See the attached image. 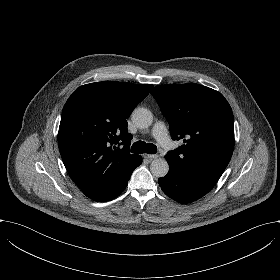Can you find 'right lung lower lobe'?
<instances>
[{
	"label": "right lung lower lobe",
	"mask_w": 280,
	"mask_h": 280,
	"mask_svg": "<svg viewBox=\"0 0 280 280\" xmlns=\"http://www.w3.org/2000/svg\"><path fill=\"white\" fill-rule=\"evenodd\" d=\"M141 163H142V160L140 161V164ZM130 176L131 175H129L127 178H125L124 181L118 187H116V189L113 191L112 195L109 196L107 201L114 199L115 197H117L118 195H120L124 191V189L127 186V183H128V180H129Z\"/></svg>",
	"instance_id": "98d812e1"
}]
</instances>
